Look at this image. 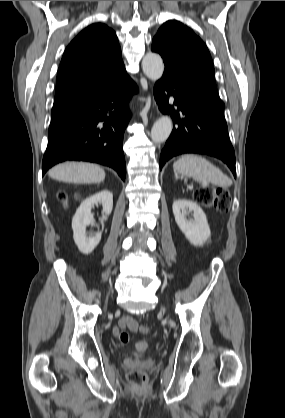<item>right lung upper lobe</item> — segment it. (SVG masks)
Listing matches in <instances>:
<instances>
[{
  "label": "right lung upper lobe",
  "instance_id": "cb5924a9",
  "mask_svg": "<svg viewBox=\"0 0 285 418\" xmlns=\"http://www.w3.org/2000/svg\"><path fill=\"white\" fill-rule=\"evenodd\" d=\"M127 76L115 32L105 24H92L71 41L62 56L53 109L78 105Z\"/></svg>",
  "mask_w": 285,
  "mask_h": 418
}]
</instances>
